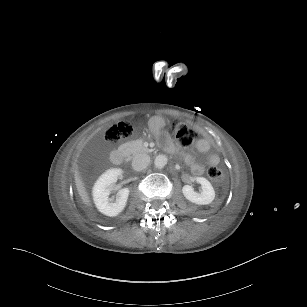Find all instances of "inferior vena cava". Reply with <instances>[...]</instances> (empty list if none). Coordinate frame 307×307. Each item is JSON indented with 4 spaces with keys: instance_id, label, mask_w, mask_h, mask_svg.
I'll list each match as a JSON object with an SVG mask.
<instances>
[{
    "instance_id": "inferior-vena-cava-1",
    "label": "inferior vena cava",
    "mask_w": 307,
    "mask_h": 307,
    "mask_svg": "<svg viewBox=\"0 0 307 307\" xmlns=\"http://www.w3.org/2000/svg\"><path fill=\"white\" fill-rule=\"evenodd\" d=\"M148 166V161L141 155H136L132 160V167L136 171H142Z\"/></svg>"
}]
</instances>
